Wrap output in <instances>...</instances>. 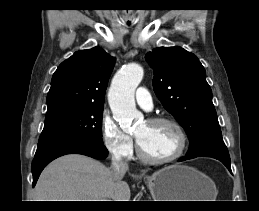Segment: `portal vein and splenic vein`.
Listing matches in <instances>:
<instances>
[{"label": "portal vein and splenic vein", "instance_id": "obj_1", "mask_svg": "<svg viewBox=\"0 0 259 211\" xmlns=\"http://www.w3.org/2000/svg\"><path fill=\"white\" fill-rule=\"evenodd\" d=\"M101 201H108L107 199H102Z\"/></svg>", "mask_w": 259, "mask_h": 211}]
</instances>
